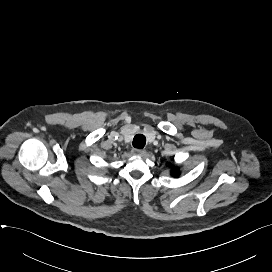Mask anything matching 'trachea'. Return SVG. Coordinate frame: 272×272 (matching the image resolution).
I'll use <instances>...</instances> for the list:
<instances>
[{"label": "trachea", "instance_id": "1", "mask_svg": "<svg viewBox=\"0 0 272 272\" xmlns=\"http://www.w3.org/2000/svg\"><path fill=\"white\" fill-rule=\"evenodd\" d=\"M146 144V137L143 134L135 135L133 139V146L138 149L144 148Z\"/></svg>", "mask_w": 272, "mask_h": 272}]
</instances>
